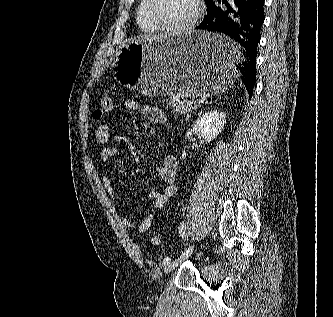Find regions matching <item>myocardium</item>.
Returning <instances> with one entry per match:
<instances>
[{
    "mask_svg": "<svg viewBox=\"0 0 333 317\" xmlns=\"http://www.w3.org/2000/svg\"><path fill=\"white\" fill-rule=\"evenodd\" d=\"M145 13L151 24L160 31H165L173 34H184L190 32L199 22L203 12L202 0H193L194 12L190 20L180 26H172L159 21L153 14V2L154 0H145Z\"/></svg>",
    "mask_w": 333,
    "mask_h": 317,
    "instance_id": "1",
    "label": "myocardium"
}]
</instances>
